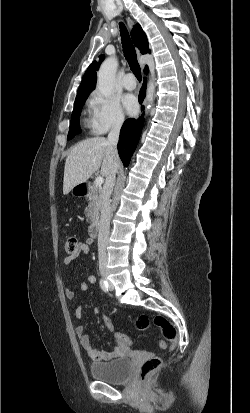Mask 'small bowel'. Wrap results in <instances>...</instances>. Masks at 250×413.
Masks as SVG:
<instances>
[{
    "mask_svg": "<svg viewBox=\"0 0 250 413\" xmlns=\"http://www.w3.org/2000/svg\"><path fill=\"white\" fill-rule=\"evenodd\" d=\"M92 243L91 239H87L86 242H80L78 251L75 254L68 255L64 258V265L66 267H72L75 264L76 259L81 255V254H87L90 249V245ZM96 282V277L94 275H88L86 280L81 282V290L86 291L88 288V284H94ZM65 296L67 299L72 300L76 296V292L72 288H67L65 290ZM83 316V307L78 306L75 309V317L77 319H81ZM111 331V330H110ZM75 333L76 336L79 339V342L83 349L87 352L89 357L94 360V361H109L112 360L119 355H121L125 349L126 346H123L122 343L117 342V346L114 348L112 351H103V350H98L96 349L89 337L88 334L85 332V328L83 325H78L75 328Z\"/></svg>",
    "mask_w": 250,
    "mask_h": 413,
    "instance_id": "c3829d8e",
    "label": "small bowel"
}]
</instances>
